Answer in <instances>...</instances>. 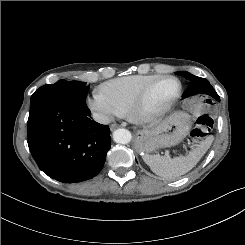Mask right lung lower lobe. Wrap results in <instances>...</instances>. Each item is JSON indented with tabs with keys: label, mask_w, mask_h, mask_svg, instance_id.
Instances as JSON below:
<instances>
[{
	"label": "right lung lower lobe",
	"mask_w": 245,
	"mask_h": 245,
	"mask_svg": "<svg viewBox=\"0 0 245 245\" xmlns=\"http://www.w3.org/2000/svg\"><path fill=\"white\" fill-rule=\"evenodd\" d=\"M27 142L39 168L63 183L96 176L111 146L110 129L90 119L86 103L47 99L30 107Z\"/></svg>",
	"instance_id": "right-lung-lower-lobe-1"
}]
</instances>
